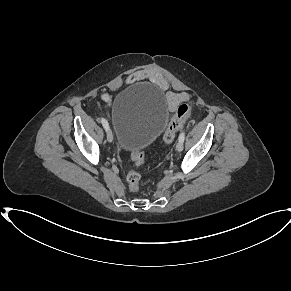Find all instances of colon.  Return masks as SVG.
Segmentation results:
<instances>
[{
    "instance_id": "obj_1",
    "label": "colon",
    "mask_w": 291,
    "mask_h": 291,
    "mask_svg": "<svg viewBox=\"0 0 291 291\" xmlns=\"http://www.w3.org/2000/svg\"><path fill=\"white\" fill-rule=\"evenodd\" d=\"M190 116V109L188 105L181 104L172 119L170 120L165 133L163 135V140L166 144H171L176 136V133L182 128L186 120ZM132 160L137 166H143L145 163V157L142 152L134 151L131 154ZM127 182L129 189L131 191H137L139 189L140 174L132 169L128 171Z\"/></svg>"
}]
</instances>
